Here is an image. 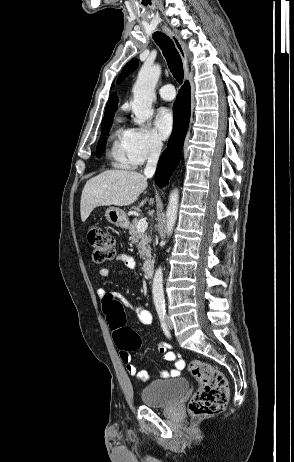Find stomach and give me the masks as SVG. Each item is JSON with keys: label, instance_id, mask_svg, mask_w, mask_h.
<instances>
[{"label": "stomach", "instance_id": "obj_1", "mask_svg": "<svg viewBox=\"0 0 294 462\" xmlns=\"http://www.w3.org/2000/svg\"><path fill=\"white\" fill-rule=\"evenodd\" d=\"M105 216L108 222L115 226L126 227L128 224L125 212L122 209L110 207L106 210Z\"/></svg>", "mask_w": 294, "mask_h": 462}]
</instances>
